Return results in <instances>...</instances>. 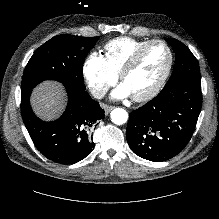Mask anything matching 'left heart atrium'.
I'll return each mask as SVG.
<instances>
[{
  "instance_id": "1",
  "label": "left heart atrium",
  "mask_w": 219,
  "mask_h": 219,
  "mask_svg": "<svg viewBox=\"0 0 219 219\" xmlns=\"http://www.w3.org/2000/svg\"><path fill=\"white\" fill-rule=\"evenodd\" d=\"M130 92L127 87L122 83L112 92V97L114 98H123L130 96Z\"/></svg>"
}]
</instances>
